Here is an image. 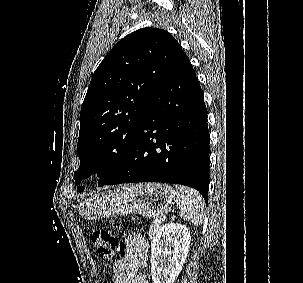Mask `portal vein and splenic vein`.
I'll return each mask as SVG.
<instances>
[{
  "label": "portal vein and splenic vein",
  "mask_w": 303,
  "mask_h": 283,
  "mask_svg": "<svg viewBox=\"0 0 303 283\" xmlns=\"http://www.w3.org/2000/svg\"><path fill=\"white\" fill-rule=\"evenodd\" d=\"M166 218H162L161 220L156 219L154 222L160 224L161 222H164Z\"/></svg>",
  "instance_id": "1"
}]
</instances>
